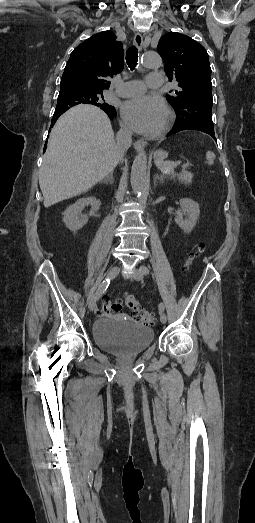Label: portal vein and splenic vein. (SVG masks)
<instances>
[{"mask_svg": "<svg viewBox=\"0 0 255 523\" xmlns=\"http://www.w3.org/2000/svg\"><path fill=\"white\" fill-rule=\"evenodd\" d=\"M188 166H191V161H186V164H184V166H182V168L180 169V172L182 174H185L187 172L186 168H188Z\"/></svg>", "mask_w": 255, "mask_h": 523, "instance_id": "obj_1", "label": "portal vein and splenic vein"}]
</instances>
